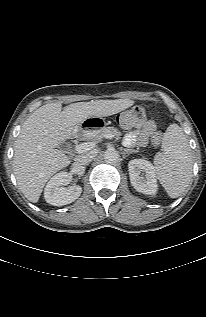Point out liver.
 <instances>
[{"mask_svg":"<svg viewBox=\"0 0 206 317\" xmlns=\"http://www.w3.org/2000/svg\"><path fill=\"white\" fill-rule=\"evenodd\" d=\"M134 104L130 99L95 100L67 105L48 103L23 123L14 149L13 169L24 196L37 203L46 182L70 160L57 149L74 134V128L89 117H106Z\"/></svg>","mask_w":206,"mask_h":317,"instance_id":"obj_1","label":"liver"}]
</instances>
